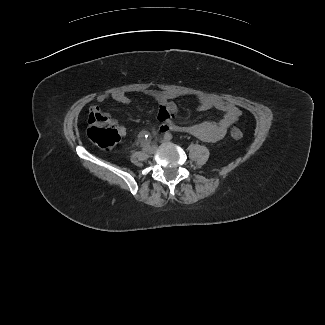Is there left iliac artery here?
I'll list each match as a JSON object with an SVG mask.
<instances>
[{"mask_svg":"<svg viewBox=\"0 0 325 325\" xmlns=\"http://www.w3.org/2000/svg\"><path fill=\"white\" fill-rule=\"evenodd\" d=\"M164 138L167 139V140H171L172 139V135L170 133H166L164 135Z\"/></svg>","mask_w":325,"mask_h":325,"instance_id":"obj_1","label":"left iliac artery"}]
</instances>
